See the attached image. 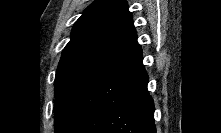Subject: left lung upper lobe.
Returning a JSON list of instances; mask_svg holds the SVG:
<instances>
[{"label":"left lung upper lobe","mask_w":221,"mask_h":133,"mask_svg":"<svg viewBox=\"0 0 221 133\" xmlns=\"http://www.w3.org/2000/svg\"><path fill=\"white\" fill-rule=\"evenodd\" d=\"M138 45L124 0H97L75 22L55 77V131L83 90Z\"/></svg>","instance_id":"5c2ea615"}]
</instances>
